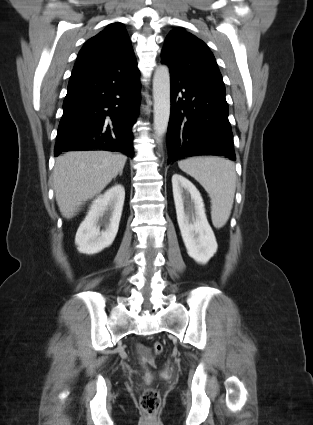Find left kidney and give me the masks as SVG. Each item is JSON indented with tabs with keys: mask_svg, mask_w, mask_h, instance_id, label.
<instances>
[{
	"mask_svg": "<svg viewBox=\"0 0 313 425\" xmlns=\"http://www.w3.org/2000/svg\"><path fill=\"white\" fill-rule=\"evenodd\" d=\"M177 221L188 255L206 264L217 251V242L197 188L180 174L172 176ZM190 197V198H189Z\"/></svg>",
	"mask_w": 313,
	"mask_h": 425,
	"instance_id": "1",
	"label": "left kidney"
}]
</instances>
